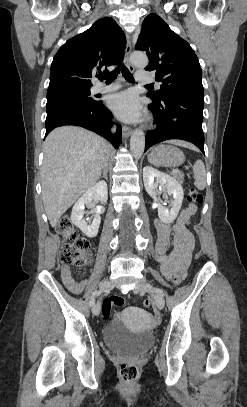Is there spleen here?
Returning <instances> with one entry per match:
<instances>
[{"instance_id":"obj_1","label":"spleen","mask_w":247,"mask_h":407,"mask_svg":"<svg viewBox=\"0 0 247 407\" xmlns=\"http://www.w3.org/2000/svg\"><path fill=\"white\" fill-rule=\"evenodd\" d=\"M195 176L194 185L197 189L203 190L206 186V170L205 165L201 160H197L193 166Z\"/></svg>"}]
</instances>
